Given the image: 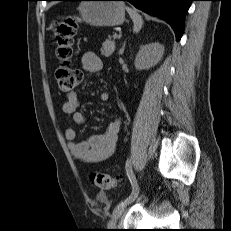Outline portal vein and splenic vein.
Returning <instances> with one entry per match:
<instances>
[{
    "label": "portal vein and splenic vein",
    "mask_w": 231,
    "mask_h": 231,
    "mask_svg": "<svg viewBox=\"0 0 231 231\" xmlns=\"http://www.w3.org/2000/svg\"><path fill=\"white\" fill-rule=\"evenodd\" d=\"M113 37H114V39L119 38V36L116 33L113 35Z\"/></svg>",
    "instance_id": "18ae733b"
}]
</instances>
